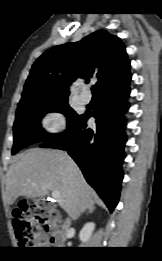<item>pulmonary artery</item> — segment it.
I'll return each instance as SVG.
<instances>
[{"instance_id": "1", "label": "pulmonary artery", "mask_w": 162, "mask_h": 261, "mask_svg": "<svg viewBox=\"0 0 162 261\" xmlns=\"http://www.w3.org/2000/svg\"><path fill=\"white\" fill-rule=\"evenodd\" d=\"M80 98L83 102L88 103L92 99V94L88 90H81L80 92Z\"/></svg>"}]
</instances>
